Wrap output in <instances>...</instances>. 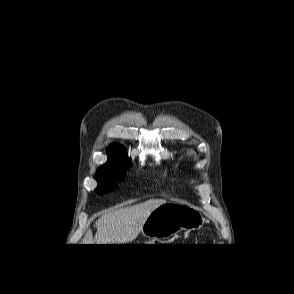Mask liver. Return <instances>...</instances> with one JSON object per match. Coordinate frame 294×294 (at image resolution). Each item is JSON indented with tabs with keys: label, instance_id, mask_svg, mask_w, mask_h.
<instances>
[{
	"label": "liver",
	"instance_id": "1",
	"mask_svg": "<svg viewBox=\"0 0 294 294\" xmlns=\"http://www.w3.org/2000/svg\"><path fill=\"white\" fill-rule=\"evenodd\" d=\"M166 203L162 199H150L143 203L106 212L96 221L95 237L88 230L83 244H128L141 232L150 213Z\"/></svg>",
	"mask_w": 294,
	"mask_h": 294
}]
</instances>
